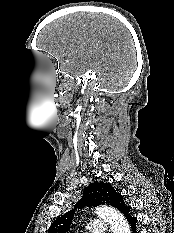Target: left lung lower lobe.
<instances>
[{"label": "left lung lower lobe", "instance_id": "left-lung-lower-lobe-1", "mask_svg": "<svg viewBox=\"0 0 174 233\" xmlns=\"http://www.w3.org/2000/svg\"><path fill=\"white\" fill-rule=\"evenodd\" d=\"M125 218L127 219L128 223L130 224L131 226V229H132V233H138L137 232V219L130 213H127L125 215Z\"/></svg>", "mask_w": 174, "mask_h": 233}]
</instances>
